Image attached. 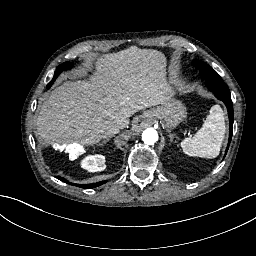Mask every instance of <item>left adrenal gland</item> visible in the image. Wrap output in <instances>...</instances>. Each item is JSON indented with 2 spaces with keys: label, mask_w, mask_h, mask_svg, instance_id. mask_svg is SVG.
<instances>
[{
  "label": "left adrenal gland",
  "mask_w": 256,
  "mask_h": 256,
  "mask_svg": "<svg viewBox=\"0 0 256 256\" xmlns=\"http://www.w3.org/2000/svg\"><path fill=\"white\" fill-rule=\"evenodd\" d=\"M168 132H169V136H170L171 142L174 141V138L178 139L177 135L172 134L170 130H168Z\"/></svg>",
  "instance_id": "obj_1"
}]
</instances>
